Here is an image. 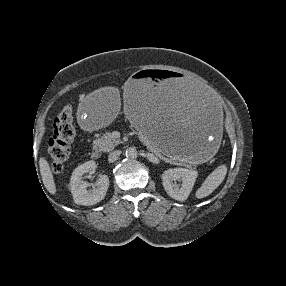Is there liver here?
I'll return each instance as SVG.
<instances>
[{"instance_id": "obj_1", "label": "liver", "mask_w": 286, "mask_h": 286, "mask_svg": "<svg viewBox=\"0 0 286 286\" xmlns=\"http://www.w3.org/2000/svg\"><path fill=\"white\" fill-rule=\"evenodd\" d=\"M124 90L126 92V86ZM39 168L44 187L49 193L54 195L56 193V185L54 182V177L50 169L49 163L44 157H41L39 160Z\"/></svg>"}]
</instances>
